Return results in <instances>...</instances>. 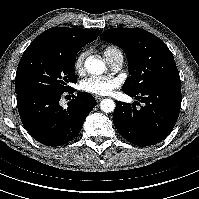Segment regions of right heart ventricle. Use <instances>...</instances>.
I'll return each mask as SVG.
<instances>
[{
  "label": "right heart ventricle",
  "instance_id": "obj_1",
  "mask_svg": "<svg viewBox=\"0 0 199 199\" xmlns=\"http://www.w3.org/2000/svg\"><path fill=\"white\" fill-rule=\"evenodd\" d=\"M121 53V51L115 47V46H107L106 48H104L103 50V55L105 57V59L110 62L113 57L118 54Z\"/></svg>",
  "mask_w": 199,
  "mask_h": 199
}]
</instances>
